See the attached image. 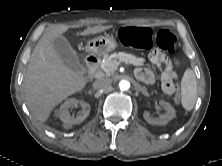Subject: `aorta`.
Wrapping results in <instances>:
<instances>
[{
  "label": "aorta",
  "instance_id": "762f6f07",
  "mask_svg": "<svg viewBox=\"0 0 222 166\" xmlns=\"http://www.w3.org/2000/svg\"><path fill=\"white\" fill-rule=\"evenodd\" d=\"M119 87L123 91L128 90L130 88V83L127 80H121L119 82Z\"/></svg>",
  "mask_w": 222,
  "mask_h": 166
}]
</instances>
